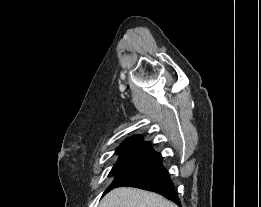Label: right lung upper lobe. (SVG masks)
<instances>
[{
  "instance_id": "obj_1",
  "label": "right lung upper lobe",
  "mask_w": 261,
  "mask_h": 207,
  "mask_svg": "<svg viewBox=\"0 0 261 207\" xmlns=\"http://www.w3.org/2000/svg\"><path fill=\"white\" fill-rule=\"evenodd\" d=\"M120 155L119 161L145 160L162 163L161 154L150 147L149 142H144L139 135L132 136L125 140L117 149Z\"/></svg>"
}]
</instances>
